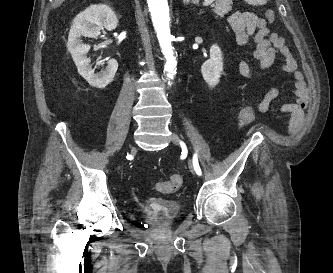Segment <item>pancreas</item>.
<instances>
[{
    "label": "pancreas",
    "mask_w": 333,
    "mask_h": 273,
    "mask_svg": "<svg viewBox=\"0 0 333 273\" xmlns=\"http://www.w3.org/2000/svg\"><path fill=\"white\" fill-rule=\"evenodd\" d=\"M232 0H216L215 4H212L213 12L220 17H223L229 11L232 10Z\"/></svg>",
    "instance_id": "pancreas-1"
}]
</instances>
